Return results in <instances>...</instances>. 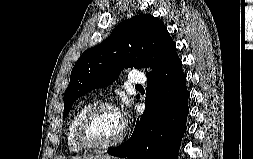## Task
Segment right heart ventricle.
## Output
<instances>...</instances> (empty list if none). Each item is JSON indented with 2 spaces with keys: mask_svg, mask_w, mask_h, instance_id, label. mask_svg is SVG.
<instances>
[{
  "mask_svg": "<svg viewBox=\"0 0 253 159\" xmlns=\"http://www.w3.org/2000/svg\"><path fill=\"white\" fill-rule=\"evenodd\" d=\"M96 103L97 101L95 98L87 102H84L82 105L78 107V109L75 111V113L71 117L67 126V131H66V140H67V146H68L69 151L79 152L83 150V148L76 141V129L84 113Z\"/></svg>",
  "mask_w": 253,
  "mask_h": 159,
  "instance_id": "e07e8e85",
  "label": "right heart ventricle"
}]
</instances>
